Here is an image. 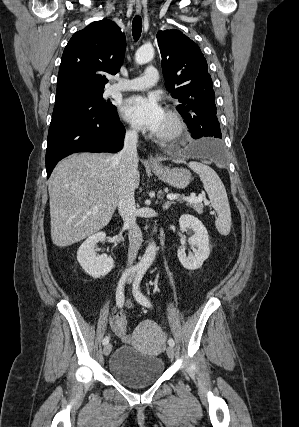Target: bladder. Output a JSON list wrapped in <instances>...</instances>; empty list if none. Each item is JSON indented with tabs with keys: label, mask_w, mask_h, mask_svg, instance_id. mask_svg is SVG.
<instances>
[{
	"label": "bladder",
	"mask_w": 299,
	"mask_h": 427,
	"mask_svg": "<svg viewBox=\"0 0 299 427\" xmlns=\"http://www.w3.org/2000/svg\"><path fill=\"white\" fill-rule=\"evenodd\" d=\"M160 356L143 354L130 345H121L109 362V373L120 384L141 388L155 383L164 373Z\"/></svg>",
	"instance_id": "obj_1"
}]
</instances>
